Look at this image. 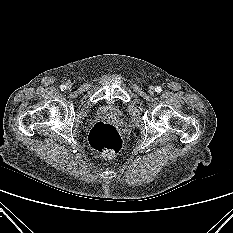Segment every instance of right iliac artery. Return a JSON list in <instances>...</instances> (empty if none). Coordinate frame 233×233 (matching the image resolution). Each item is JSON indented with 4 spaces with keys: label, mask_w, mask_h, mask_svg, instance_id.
Returning <instances> with one entry per match:
<instances>
[{
    "label": "right iliac artery",
    "mask_w": 233,
    "mask_h": 233,
    "mask_svg": "<svg viewBox=\"0 0 233 233\" xmlns=\"http://www.w3.org/2000/svg\"><path fill=\"white\" fill-rule=\"evenodd\" d=\"M60 89H61V91H64V90H66V86L64 84H62V85H60Z\"/></svg>",
    "instance_id": "82829eb1"
}]
</instances>
